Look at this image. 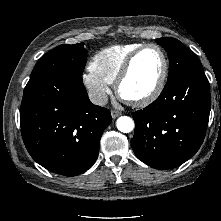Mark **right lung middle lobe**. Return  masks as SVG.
I'll list each match as a JSON object with an SVG mask.
<instances>
[{"mask_svg": "<svg viewBox=\"0 0 221 221\" xmlns=\"http://www.w3.org/2000/svg\"><path fill=\"white\" fill-rule=\"evenodd\" d=\"M87 61L84 43L60 45L46 53L35 65L30 80L82 82V73Z\"/></svg>", "mask_w": 221, "mask_h": 221, "instance_id": "dd1d6c3e", "label": "right lung middle lobe"}]
</instances>
